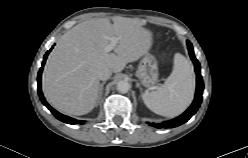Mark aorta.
I'll return each instance as SVG.
<instances>
[{
  "instance_id": "aorta-1",
  "label": "aorta",
  "mask_w": 248,
  "mask_h": 158,
  "mask_svg": "<svg viewBox=\"0 0 248 158\" xmlns=\"http://www.w3.org/2000/svg\"><path fill=\"white\" fill-rule=\"evenodd\" d=\"M131 85L126 80H121L117 83V90L121 93H126L130 90Z\"/></svg>"
}]
</instances>
